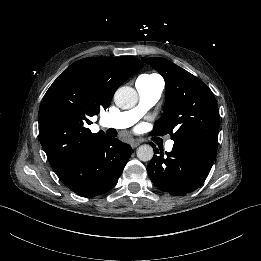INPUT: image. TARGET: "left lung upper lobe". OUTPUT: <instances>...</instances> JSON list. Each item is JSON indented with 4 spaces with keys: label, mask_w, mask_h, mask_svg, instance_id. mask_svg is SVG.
<instances>
[{
    "label": "left lung upper lobe",
    "mask_w": 261,
    "mask_h": 261,
    "mask_svg": "<svg viewBox=\"0 0 261 261\" xmlns=\"http://www.w3.org/2000/svg\"><path fill=\"white\" fill-rule=\"evenodd\" d=\"M142 60L156 69L166 84L164 115L155 122L151 134L169 133L174 141L200 137L218 143L219 111L208 86L165 58Z\"/></svg>",
    "instance_id": "left-lung-upper-lobe-1"
}]
</instances>
